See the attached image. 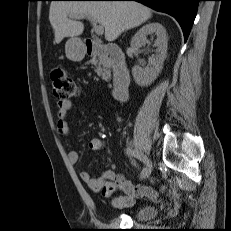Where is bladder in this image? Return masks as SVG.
<instances>
[{
    "label": "bladder",
    "mask_w": 231,
    "mask_h": 231,
    "mask_svg": "<svg viewBox=\"0 0 231 231\" xmlns=\"http://www.w3.org/2000/svg\"><path fill=\"white\" fill-rule=\"evenodd\" d=\"M157 212V207L145 205L137 208L133 216L135 220H149L153 218L157 214Z\"/></svg>",
    "instance_id": "bladder-1"
}]
</instances>
